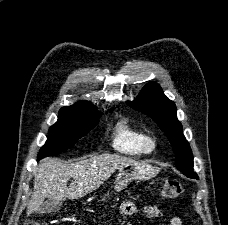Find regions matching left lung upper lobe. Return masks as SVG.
Instances as JSON below:
<instances>
[{
	"instance_id": "left-lung-upper-lobe-1",
	"label": "left lung upper lobe",
	"mask_w": 228,
	"mask_h": 225,
	"mask_svg": "<svg viewBox=\"0 0 228 225\" xmlns=\"http://www.w3.org/2000/svg\"><path fill=\"white\" fill-rule=\"evenodd\" d=\"M127 103L135 110L151 116L172 144L176 156V168L187 177L198 179L193 172L191 148L177 119L176 106L163 94L160 86L153 82L148 83L134 101Z\"/></svg>"
}]
</instances>
